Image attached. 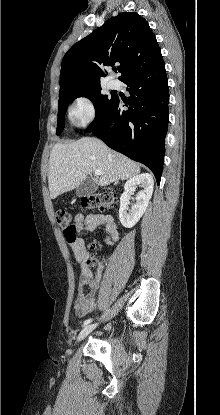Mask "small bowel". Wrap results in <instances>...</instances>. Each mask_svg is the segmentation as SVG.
<instances>
[{
	"mask_svg": "<svg viewBox=\"0 0 220 415\" xmlns=\"http://www.w3.org/2000/svg\"><path fill=\"white\" fill-rule=\"evenodd\" d=\"M74 231L64 232V238L72 247L77 259L81 264V275L77 286V297L74 302L75 313L82 318L89 315L95 308L98 294L99 280L94 278L86 264L89 257L88 247L84 236L96 231L100 227H106L108 236L104 237V242L112 245L119 238L117 224L110 214H88L78 213L74 217ZM88 288V292L85 289Z\"/></svg>",
	"mask_w": 220,
	"mask_h": 415,
	"instance_id": "small-bowel-1",
	"label": "small bowel"
}]
</instances>
